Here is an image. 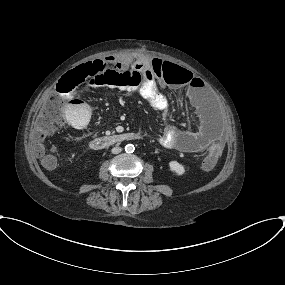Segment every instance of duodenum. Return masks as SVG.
I'll return each instance as SVG.
<instances>
[{
    "mask_svg": "<svg viewBox=\"0 0 285 285\" xmlns=\"http://www.w3.org/2000/svg\"><path fill=\"white\" fill-rule=\"evenodd\" d=\"M140 138H141L140 134L133 132L114 133L93 139L90 142V147L94 150H102L110 146L119 145L130 141H135Z\"/></svg>",
    "mask_w": 285,
    "mask_h": 285,
    "instance_id": "410a0bca",
    "label": "duodenum"
}]
</instances>
